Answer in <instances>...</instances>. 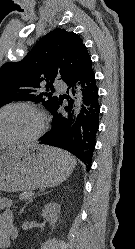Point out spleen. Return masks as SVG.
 I'll return each instance as SVG.
<instances>
[{
	"instance_id": "1",
	"label": "spleen",
	"mask_w": 135,
	"mask_h": 249,
	"mask_svg": "<svg viewBox=\"0 0 135 249\" xmlns=\"http://www.w3.org/2000/svg\"><path fill=\"white\" fill-rule=\"evenodd\" d=\"M57 153L63 161L70 160L73 162L74 166L76 165L75 158L73 156H71L70 154H68L67 152L57 150Z\"/></svg>"
}]
</instances>
